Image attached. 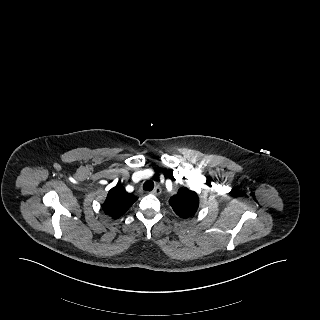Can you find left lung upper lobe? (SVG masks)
I'll return each instance as SVG.
<instances>
[{
  "label": "left lung upper lobe",
  "mask_w": 320,
  "mask_h": 320,
  "mask_svg": "<svg viewBox=\"0 0 320 320\" xmlns=\"http://www.w3.org/2000/svg\"><path fill=\"white\" fill-rule=\"evenodd\" d=\"M169 203L179 217L188 218L196 213L199 207V198L196 192L183 187L170 198Z\"/></svg>",
  "instance_id": "1"
}]
</instances>
